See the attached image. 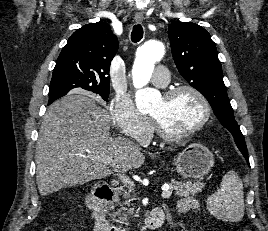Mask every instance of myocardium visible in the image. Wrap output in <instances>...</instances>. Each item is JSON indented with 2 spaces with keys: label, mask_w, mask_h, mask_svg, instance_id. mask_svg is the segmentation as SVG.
Instances as JSON below:
<instances>
[{
  "label": "myocardium",
  "mask_w": 268,
  "mask_h": 231,
  "mask_svg": "<svg viewBox=\"0 0 268 231\" xmlns=\"http://www.w3.org/2000/svg\"><path fill=\"white\" fill-rule=\"evenodd\" d=\"M184 92L194 95L200 101L203 107V115L200 121L195 126H193L191 129L183 133L171 132L170 130L167 129V127L164 125L161 119L151 116L158 134L164 140H167L170 142H177V141L188 139L192 137L193 135H195L197 132H199L207 124V122L209 121L211 117V105L209 103V100L200 90H198L197 88L193 86H190V85L175 86L165 91L163 93L162 98L164 99V101H170L173 98H175L177 95L184 93Z\"/></svg>",
  "instance_id": "f54148a6"
}]
</instances>
